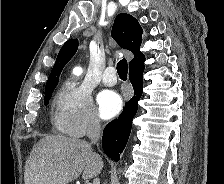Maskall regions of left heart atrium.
Segmentation results:
<instances>
[{
	"label": "left heart atrium",
	"mask_w": 224,
	"mask_h": 184,
	"mask_svg": "<svg viewBox=\"0 0 224 184\" xmlns=\"http://www.w3.org/2000/svg\"><path fill=\"white\" fill-rule=\"evenodd\" d=\"M122 108L120 96L113 91H104L98 97V109L100 116L110 119L117 115Z\"/></svg>",
	"instance_id": "39dd6f15"
}]
</instances>
